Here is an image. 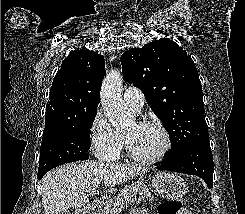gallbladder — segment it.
<instances>
[{"label":"gallbladder","instance_id":"obj_1","mask_svg":"<svg viewBox=\"0 0 245 214\" xmlns=\"http://www.w3.org/2000/svg\"><path fill=\"white\" fill-rule=\"evenodd\" d=\"M59 214H71V211L69 209L61 211Z\"/></svg>","mask_w":245,"mask_h":214}]
</instances>
